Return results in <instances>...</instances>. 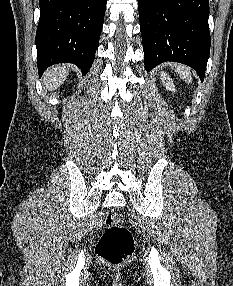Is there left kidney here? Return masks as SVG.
I'll return each mask as SVG.
<instances>
[{
	"label": "left kidney",
	"mask_w": 233,
	"mask_h": 286,
	"mask_svg": "<svg viewBox=\"0 0 233 286\" xmlns=\"http://www.w3.org/2000/svg\"><path fill=\"white\" fill-rule=\"evenodd\" d=\"M160 77H161L163 85L165 86L167 90L176 92L175 85L167 73L161 72Z\"/></svg>",
	"instance_id": "left-kidney-1"
}]
</instances>
